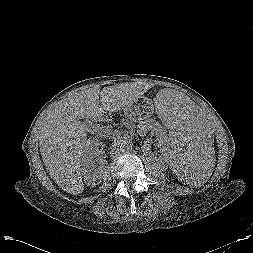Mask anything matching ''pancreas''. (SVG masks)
<instances>
[{
    "instance_id": "pancreas-1",
    "label": "pancreas",
    "mask_w": 253,
    "mask_h": 253,
    "mask_svg": "<svg viewBox=\"0 0 253 253\" xmlns=\"http://www.w3.org/2000/svg\"><path fill=\"white\" fill-rule=\"evenodd\" d=\"M103 131H104V135L107 136V137H110V138H112L116 135L111 127H105L103 129Z\"/></svg>"
}]
</instances>
